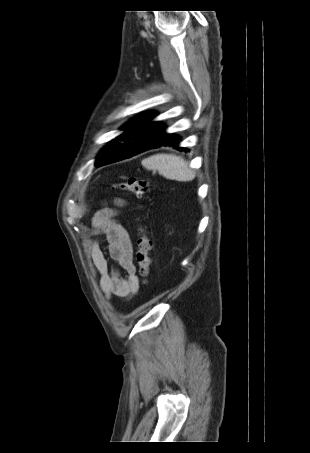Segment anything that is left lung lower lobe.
<instances>
[{
	"instance_id": "1",
	"label": "left lung lower lobe",
	"mask_w": 310,
	"mask_h": 453,
	"mask_svg": "<svg viewBox=\"0 0 310 453\" xmlns=\"http://www.w3.org/2000/svg\"><path fill=\"white\" fill-rule=\"evenodd\" d=\"M179 143H180L179 136H177L175 134H167L163 139L146 146L139 153L147 151L149 149L158 148L161 146H172L173 148H176L177 150L185 151L186 150L185 148L178 147Z\"/></svg>"
}]
</instances>
